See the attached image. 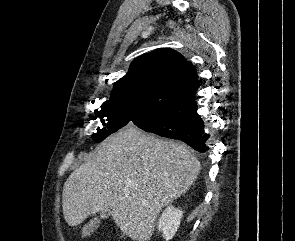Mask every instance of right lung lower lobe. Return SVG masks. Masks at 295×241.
I'll return each mask as SVG.
<instances>
[{
  "instance_id": "98d812e1",
  "label": "right lung lower lobe",
  "mask_w": 295,
  "mask_h": 241,
  "mask_svg": "<svg viewBox=\"0 0 295 241\" xmlns=\"http://www.w3.org/2000/svg\"><path fill=\"white\" fill-rule=\"evenodd\" d=\"M141 129L162 137L182 140L199 152L208 150L205 142L209 135L204 133V123L197 114L195 100L164 113L158 120Z\"/></svg>"
}]
</instances>
